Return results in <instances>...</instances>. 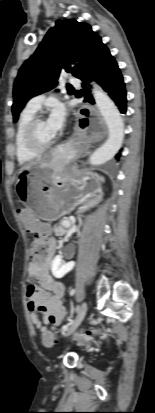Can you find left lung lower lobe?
I'll return each instance as SVG.
<instances>
[{"label": "left lung lower lobe", "mask_w": 155, "mask_h": 413, "mask_svg": "<svg viewBox=\"0 0 155 413\" xmlns=\"http://www.w3.org/2000/svg\"><path fill=\"white\" fill-rule=\"evenodd\" d=\"M83 81L82 94L84 102L94 104V99L90 94L88 85L91 80L97 81L103 89L108 92L109 96L115 101L121 113H126V90L123 76L117 65V62L110 54L109 49L105 46L96 60L93 62L85 75L80 78ZM121 156V150L115 156L118 160Z\"/></svg>", "instance_id": "1"}]
</instances>
